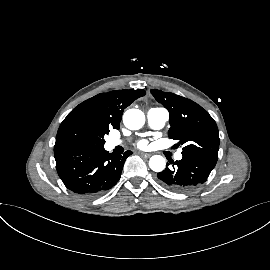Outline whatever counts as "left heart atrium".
Listing matches in <instances>:
<instances>
[{
	"label": "left heart atrium",
	"mask_w": 270,
	"mask_h": 270,
	"mask_svg": "<svg viewBox=\"0 0 270 270\" xmlns=\"http://www.w3.org/2000/svg\"><path fill=\"white\" fill-rule=\"evenodd\" d=\"M147 144H148L147 141L142 140L138 143V147L141 149H145V148H147Z\"/></svg>",
	"instance_id": "1"
}]
</instances>
